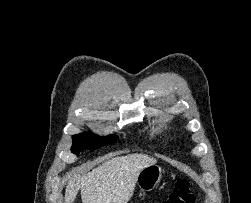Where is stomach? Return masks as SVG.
I'll return each instance as SVG.
<instances>
[{
    "label": "stomach",
    "instance_id": "1",
    "mask_svg": "<svg viewBox=\"0 0 251 203\" xmlns=\"http://www.w3.org/2000/svg\"><path fill=\"white\" fill-rule=\"evenodd\" d=\"M162 177V168L156 164L142 169L137 177L136 183L141 191L150 192L160 182Z\"/></svg>",
    "mask_w": 251,
    "mask_h": 203
}]
</instances>
